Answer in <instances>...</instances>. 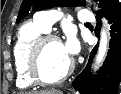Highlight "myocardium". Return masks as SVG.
Instances as JSON below:
<instances>
[{
    "label": "myocardium",
    "instance_id": "obj_1",
    "mask_svg": "<svg viewBox=\"0 0 121 94\" xmlns=\"http://www.w3.org/2000/svg\"><path fill=\"white\" fill-rule=\"evenodd\" d=\"M50 41H57L61 42V39L51 33H45L37 37L30 45L27 56H26V69L30 79L34 82V84L40 86H55L63 81H65L73 72L74 70V61L71 59L70 64L66 68V70L60 75L58 78L53 80L45 79L40 71V55L43 46L50 42Z\"/></svg>",
    "mask_w": 121,
    "mask_h": 94
}]
</instances>
